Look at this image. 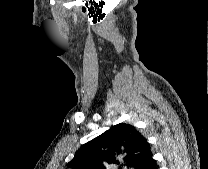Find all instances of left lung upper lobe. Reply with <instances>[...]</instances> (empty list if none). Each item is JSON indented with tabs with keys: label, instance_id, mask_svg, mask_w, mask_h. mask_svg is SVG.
<instances>
[{
	"label": "left lung upper lobe",
	"instance_id": "5c2ea615",
	"mask_svg": "<svg viewBox=\"0 0 208 169\" xmlns=\"http://www.w3.org/2000/svg\"><path fill=\"white\" fill-rule=\"evenodd\" d=\"M150 150L147 140L132 126L119 123L84 144L68 166L76 169H106L104 164H118L139 169Z\"/></svg>",
	"mask_w": 208,
	"mask_h": 169
}]
</instances>
